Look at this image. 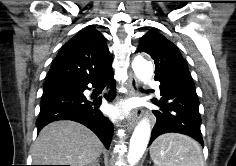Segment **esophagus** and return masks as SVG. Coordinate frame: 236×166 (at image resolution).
Returning <instances> with one entry per match:
<instances>
[{
	"label": "esophagus",
	"mask_w": 236,
	"mask_h": 166,
	"mask_svg": "<svg viewBox=\"0 0 236 166\" xmlns=\"http://www.w3.org/2000/svg\"><path fill=\"white\" fill-rule=\"evenodd\" d=\"M127 88H128L127 98H132L133 96L138 94V81L134 75L129 76V79L127 82ZM141 115H142L141 109L137 108L133 110L128 119V122L126 125L127 128L132 129L136 125Z\"/></svg>",
	"instance_id": "obj_1"
}]
</instances>
